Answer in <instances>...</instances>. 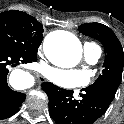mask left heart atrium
<instances>
[{
    "label": "left heart atrium",
    "instance_id": "left-heart-atrium-1",
    "mask_svg": "<svg viewBox=\"0 0 124 124\" xmlns=\"http://www.w3.org/2000/svg\"><path fill=\"white\" fill-rule=\"evenodd\" d=\"M45 74L50 81L62 88L84 86L89 82L88 74L82 70L47 68Z\"/></svg>",
    "mask_w": 124,
    "mask_h": 124
}]
</instances>
